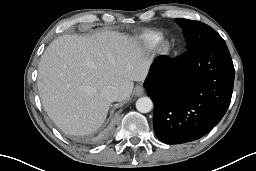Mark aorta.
Returning <instances> with one entry per match:
<instances>
[{"instance_id": "762f6f07", "label": "aorta", "mask_w": 256, "mask_h": 171, "mask_svg": "<svg viewBox=\"0 0 256 171\" xmlns=\"http://www.w3.org/2000/svg\"><path fill=\"white\" fill-rule=\"evenodd\" d=\"M153 107V102L149 97H141L136 101V109L141 113H148Z\"/></svg>"}]
</instances>
